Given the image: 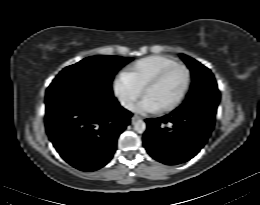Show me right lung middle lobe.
<instances>
[{"label": "right lung middle lobe", "instance_id": "obj_1", "mask_svg": "<svg viewBox=\"0 0 260 205\" xmlns=\"http://www.w3.org/2000/svg\"><path fill=\"white\" fill-rule=\"evenodd\" d=\"M131 58L117 56H92L64 68L51 85L71 84L83 86L113 97L111 82L116 72Z\"/></svg>", "mask_w": 260, "mask_h": 205}]
</instances>
